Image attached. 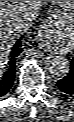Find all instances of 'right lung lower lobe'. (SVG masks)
<instances>
[{
	"label": "right lung lower lobe",
	"instance_id": "obj_1",
	"mask_svg": "<svg viewBox=\"0 0 74 122\" xmlns=\"http://www.w3.org/2000/svg\"><path fill=\"white\" fill-rule=\"evenodd\" d=\"M21 40L22 38H20L11 49L7 71L4 74H0V97L6 95L13 86L16 73V59L23 50Z\"/></svg>",
	"mask_w": 74,
	"mask_h": 122
}]
</instances>
